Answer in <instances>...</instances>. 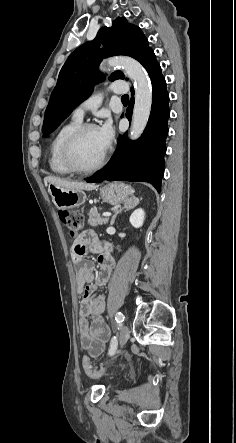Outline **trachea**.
I'll return each mask as SVG.
<instances>
[{"label":"trachea","mask_w":236,"mask_h":443,"mask_svg":"<svg viewBox=\"0 0 236 443\" xmlns=\"http://www.w3.org/2000/svg\"><path fill=\"white\" fill-rule=\"evenodd\" d=\"M121 100H123V101H128V100H129L128 95H123L122 98H121Z\"/></svg>","instance_id":"obj_1"}]
</instances>
